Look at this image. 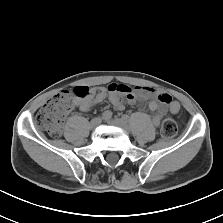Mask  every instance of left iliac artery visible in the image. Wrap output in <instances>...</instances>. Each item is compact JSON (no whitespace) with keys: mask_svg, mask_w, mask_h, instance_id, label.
<instances>
[{"mask_svg":"<svg viewBox=\"0 0 223 223\" xmlns=\"http://www.w3.org/2000/svg\"><path fill=\"white\" fill-rule=\"evenodd\" d=\"M122 119H124L126 122H128V121H129V117H128V116H126V115H123V116H122Z\"/></svg>","mask_w":223,"mask_h":223,"instance_id":"obj_1","label":"left iliac artery"}]
</instances>
